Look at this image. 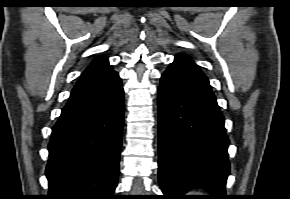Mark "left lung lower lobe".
Returning <instances> with one entry per match:
<instances>
[{"label":"left lung lower lobe","mask_w":290,"mask_h":199,"mask_svg":"<svg viewBox=\"0 0 290 199\" xmlns=\"http://www.w3.org/2000/svg\"><path fill=\"white\" fill-rule=\"evenodd\" d=\"M229 139L209 81L194 61L178 54L158 90L159 183L168 199L192 188L222 199L230 170Z\"/></svg>","instance_id":"obj_1"}]
</instances>
